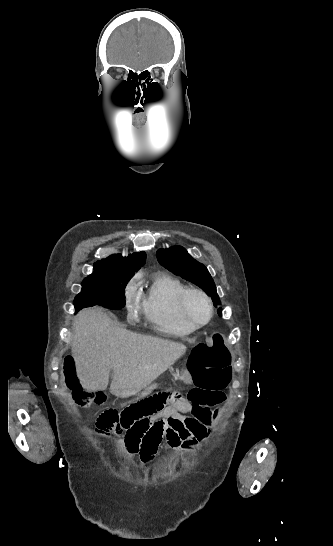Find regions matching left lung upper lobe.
Segmentation results:
<instances>
[{
  "label": "left lung upper lobe",
  "instance_id": "left-lung-upper-lobe-1",
  "mask_svg": "<svg viewBox=\"0 0 333 546\" xmlns=\"http://www.w3.org/2000/svg\"><path fill=\"white\" fill-rule=\"evenodd\" d=\"M159 263L172 273L199 286L208 296H211L214 305L220 304L215 283L207 268L192 258L181 246H173L169 249L157 251ZM222 315V308L218 309Z\"/></svg>",
  "mask_w": 333,
  "mask_h": 546
}]
</instances>
